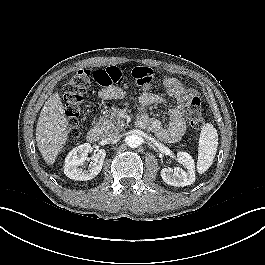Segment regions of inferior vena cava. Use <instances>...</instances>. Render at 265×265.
<instances>
[{
	"instance_id": "obj_1",
	"label": "inferior vena cava",
	"mask_w": 265,
	"mask_h": 265,
	"mask_svg": "<svg viewBox=\"0 0 265 265\" xmlns=\"http://www.w3.org/2000/svg\"><path fill=\"white\" fill-rule=\"evenodd\" d=\"M120 138H121V135L120 134H118V133H111V134H109V135H107L105 137V141L107 143L113 144V143L118 142L120 140Z\"/></svg>"
}]
</instances>
